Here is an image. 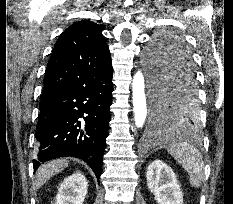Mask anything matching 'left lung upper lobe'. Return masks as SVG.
Here are the masks:
<instances>
[{
    "mask_svg": "<svg viewBox=\"0 0 233 204\" xmlns=\"http://www.w3.org/2000/svg\"><path fill=\"white\" fill-rule=\"evenodd\" d=\"M180 52L191 57L186 45L174 34L161 35L151 42L144 53V63L149 71L151 85L158 83L169 69V55ZM195 101L194 98L182 96L170 109L169 124L187 131L199 130V106Z\"/></svg>",
    "mask_w": 233,
    "mask_h": 204,
    "instance_id": "left-lung-upper-lobe-1",
    "label": "left lung upper lobe"
}]
</instances>
